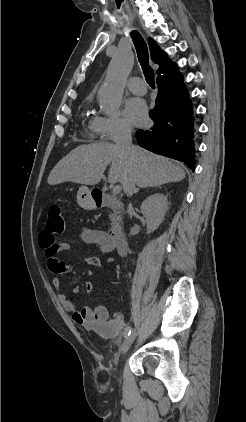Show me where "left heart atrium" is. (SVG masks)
I'll use <instances>...</instances> for the list:
<instances>
[{
	"instance_id": "obj_1",
	"label": "left heart atrium",
	"mask_w": 246,
	"mask_h": 422,
	"mask_svg": "<svg viewBox=\"0 0 246 422\" xmlns=\"http://www.w3.org/2000/svg\"><path fill=\"white\" fill-rule=\"evenodd\" d=\"M125 113L128 120L134 125L142 126L147 121V106L142 99H128L125 103Z\"/></svg>"
}]
</instances>
